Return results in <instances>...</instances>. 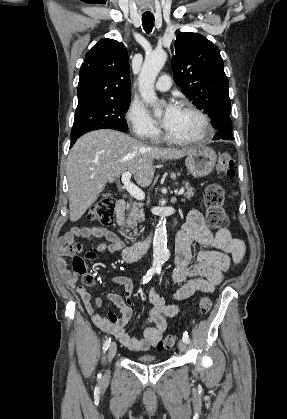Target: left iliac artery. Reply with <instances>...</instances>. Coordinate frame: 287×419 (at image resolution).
Wrapping results in <instances>:
<instances>
[{"mask_svg":"<svg viewBox=\"0 0 287 419\" xmlns=\"http://www.w3.org/2000/svg\"><path fill=\"white\" fill-rule=\"evenodd\" d=\"M158 273H160V271H158ZM186 343H189V336L187 332H184L183 334V338H182Z\"/></svg>","mask_w":287,"mask_h":419,"instance_id":"44dca946","label":"left iliac artery"}]
</instances>
